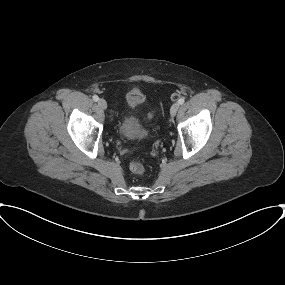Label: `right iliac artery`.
<instances>
[{"instance_id":"82829eb1","label":"right iliac artery","mask_w":285,"mask_h":285,"mask_svg":"<svg viewBox=\"0 0 285 285\" xmlns=\"http://www.w3.org/2000/svg\"><path fill=\"white\" fill-rule=\"evenodd\" d=\"M93 100L97 102L99 100V97L97 95H94Z\"/></svg>"}]
</instances>
